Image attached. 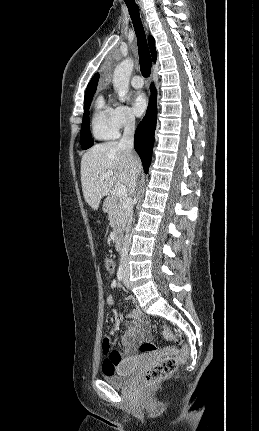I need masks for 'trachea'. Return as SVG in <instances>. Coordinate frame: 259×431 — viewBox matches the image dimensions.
I'll list each match as a JSON object with an SVG mask.
<instances>
[{
  "label": "trachea",
  "mask_w": 259,
  "mask_h": 431,
  "mask_svg": "<svg viewBox=\"0 0 259 431\" xmlns=\"http://www.w3.org/2000/svg\"><path fill=\"white\" fill-rule=\"evenodd\" d=\"M137 36L140 70L144 77L151 73V56L146 41L144 28L139 15V8L134 0H125Z\"/></svg>",
  "instance_id": "obj_1"
}]
</instances>
